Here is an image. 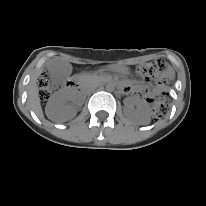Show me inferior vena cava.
Segmentation results:
<instances>
[{"mask_svg": "<svg viewBox=\"0 0 206 206\" xmlns=\"http://www.w3.org/2000/svg\"><path fill=\"white\" fill-rule=\"evenodd\" d=\"M96 88H97V86L90 87V88L86 89V90L84 91V93L87 94V93L95 90Z\"/></svg>", "mask_w": 206, "mask_h": 206, "instance_id": "obj_1", "label": "inferior vena cava"}]
</instances>
